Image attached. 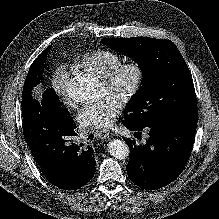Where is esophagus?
<instances>
[{
  "mask_svg": "<svg viewBox=\"0 0 219 219\" xmlns=\"http://www.w3.org/2000/svg\"><path fill=\"white\" fill-rule=\"evenodd\" d=\"M96 135L101 139H107L109 137V132L106 130H98L96 132Z\"/></svg>",
  "mask_w": 219,
  "mask_h": 219,
  "instance_id": "esophagus-1",
  "label": "esophagus"
}]
</instances>
